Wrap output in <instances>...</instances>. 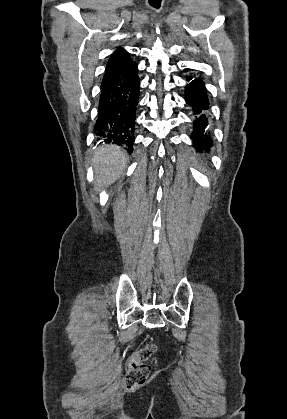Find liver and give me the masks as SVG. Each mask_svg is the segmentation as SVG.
Returning <instances> with one entry per match:
<instances>
[{
    "label": "liver",
    "mask_w": 287,
    "mask_h": 419,
    "mask_svg": "<svg viewBox=\"0 0 287 419\" xmlns=\"http://www.w3.org/2000/svg\"><path fill=\"white\" fill-rule=\"evenodd\" d=\"M126 160L127 154L117 145L98 148L92 158L95 170L94 190L101 191L119 178Z\"/></svg>",
    "instance_id": "6515ba94"
}]
</instances>
